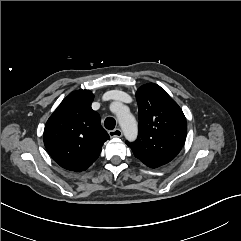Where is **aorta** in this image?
Returning a JSON list of instances; mask_svg holds the SVG:
<instances>
[{"mask_svg":"<svg viewBox=\"0 0 241 241\" xmlns=\"http://www.w3.org/2000/svg\"><path fill=\"white\" fill-rule=\"evenodd\" d=\"M116 116L125 137L130 141L135 140L138 132L135 117L123 105L116 111Z\"/></svg>","mask_w":241,"mask_h":241,"instance_id":"obj_1","label":"aorta"}]
</instances>
